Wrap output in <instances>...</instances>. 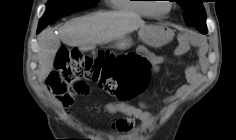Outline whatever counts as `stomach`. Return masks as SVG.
Here are the masks:
<instances>
[{
    "label": "stomach",
    "instance_id": "1",
    "mask_svg": "<svg viewBox=\"0 0 236 140\" xmlns=\"http://www.w3.org/2000/svg\"><path fill=\"white\" fill-rule=\"evenodd\" d=\"M140 37L149 45L160 47L170 42L174 32L163 24L150 25L139 31ZM131 44L130 38H120L117 45L119 47H128Z\"/></svg>",
    "mask_w": 236,
    "mask_h": 140
}]
</instances>
